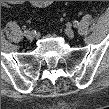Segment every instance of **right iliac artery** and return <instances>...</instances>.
Wrapping results in <instances>:
<instances>
[{"label":"right iliac artery","mask_w":109,"mask_h":109,"mask_svg":"<svg viewBox=\"0 0 109 109\" xmlns=\"http://www.w3.org/2000/svg\"><path fill=\"white\" fill-rule=\"evenodd\" d=\"M28 32H30V31H29V30H25V31H24V34L26 35Z\"/></svg>","instance_id":"right-iliac-artery-1"}]
</instances>
